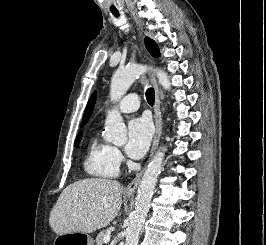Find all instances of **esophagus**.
Instances as JSON below:
<instances>
[{
    "mask_svg": "<svg viewBox=\"0 0 266 245\" xmlns=\"http://www.w3.org/2000/svg\"><path fill=\"white\" fill-rule=\"evenodd\" d=\"M150 80L153 84L154 90H155V104H154V121H155V127H156V132L155 136L153 139L152 147H151V152H150V158L152 157L153 153L155 152L156 148L158 147L161 132H162V116H161V108H160V91H159V86L157 84L155 76L152 74L150 75ZM143 170L136 175L134 180L126 187L125 189V194L126 195H134L141 176H142Z\"/></svg>",
    "mask_w": 266,
    "mask_h": 245,
    "instance_id": "1",
    "label": "esophagus"
}]
</instances>
